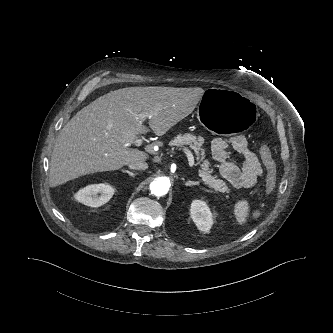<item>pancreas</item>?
<instances>
[{
	"instance_id": "pancreas-1",
	"label": "pancreas",
	"mask_w": 333,
	"mask_h": 333,
	"mask_svg": "<svg viewBox=\"0 0 333 333\" xmlns=\"http://www.w3.org/2000/svg\"><path fill=\"white\" fill-rule=\"evenodd\" d=\"M204 140L202 138H197L196 136L185 133L177 135L171 142L170 145L176 147L190 146L191 149L195 151L197 155V160L201 161V167L199 169V176L202 181L209 187L213 188L219 192H229V188L226 186L225 182L220 179H216V176H212L213 170L210 168V163L205 159V150L202 148Z\"/></svg>"
}]
</instances>
